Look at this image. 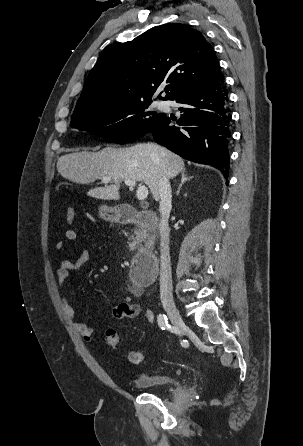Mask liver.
Wrapping results in <instances>:
<instances>
[{
    "instance_id": "liver-1",
    "label": "liver",
    "mask_w": 303,
    "mask_h": 446,
    "mask_svg": "<svg viewBox=\"0 0 303 446\" xmlns=\"http://www.w3.org/2000/svg\"><path fill=\"white\" fill-rule=\"evenodd\" d=\"M184 169V161L165 147L139 143L129 148L106 147L98 152H75L59 157L57 170L69 181L87 184L108 176L111 184L97 187L87 195L102 200H118L123 180L144 182L153 197L159 199V181L174 178Z\"/></svg>"
}]
</instances>
